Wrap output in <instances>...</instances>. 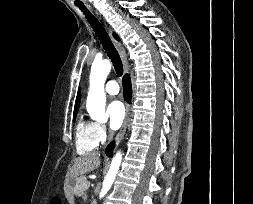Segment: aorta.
Here are the masks:
<instances>
[{"label":"aorta","mask_w":253,"mask_h":204,"mask_svg":"<svg viewBox=\"0 0 253 204\" xmlns=\"http://www.w3.org/2000/svg\"><path fill=\"white\" fill-rule=\"evenodd\" d=\"M111 70V63L108 60L94 62L90 73V89L87 97L86 108L93 120L105 122L108 116L105 114L106 95L104 84ZM122 160V154L116 153L113 157L109 171L103 181L100 198L111 188Z\"/></svg>","instance_id":"1"}]
</instances>
